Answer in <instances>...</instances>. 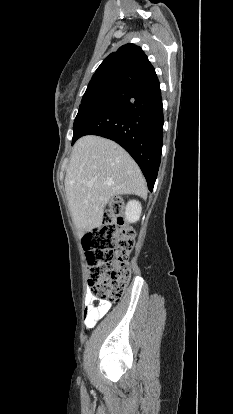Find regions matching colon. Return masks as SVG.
I'll return each mask as SVG.
<instances>
[{
    "label": "colon",
    "mask_w": 233,
    "mask_h": 414,
    "mask_svg": "<svg viewBox=\"0 0 233 414\" xmlns=\"http://www.w3.org/2000/svg\"><path fill=\"white\" fill-rule=\"evenodd\" d=\"M134 243V231L125 225L123 202L114 199L104 215L103 225L83 239L88 284L94 297L112 302L121 299L131 277L129 256Z\"/></svg>",
    "instance_id": "5ec220e1"
}]
</instances>
